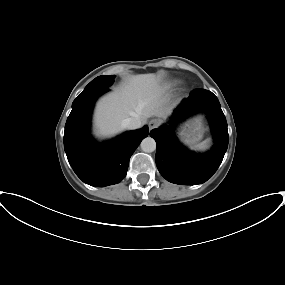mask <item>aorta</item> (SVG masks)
Wrapping results in <instances>:
<instances>
[{
    "instance_id": "obj_1",
    "label": "aorta",
    "mask_w": 285,
    "mask_h": 285,
    "mask_svg": "<svg viewBox=\"0 0 285 285\" xmlns=\"http://www.w3.org/2000/svg\"><path fill=\"white\" fill-rule=\"evenodd\" d=\"M140 146H141V149L147 153H150L156 150V142L152 137L144 138Z\"/></svg>"
}]
</instances>
